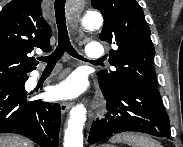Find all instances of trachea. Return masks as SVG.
Masks as SVG:
<instances>
[{
	"label": "trachea",
	"mask_w": 183,
	"mask_h": 147,
	"mask_svg": "<svg viewBox=\"0 0 183 147\" xmlns=\"http://www.w3.org/2000/svg\"><path fill=\"white\" fill-rule=\"evenodd\" d=\"M65 2V0L55 1V17L58 28V45L52 54L38 58V60L47 63L46 67H54L65 52L74 58L86 61L83 56H80L77 53V51L70 43L65 18ZM91 62H99V60H92Z\"/></svg>",
	"instance_id": "3493384b"
}]
</instances>
